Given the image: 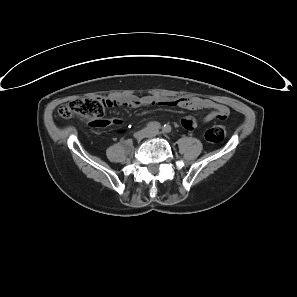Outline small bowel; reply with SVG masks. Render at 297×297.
Returning a JSON list of instances; mask_svg holds the SVG:
<instances>
[{"instance_id":"obj_1","label":"small bowel","mask_w":297,"mask_h":297,"mask_svg":"<svg viewBox=\"0 0 297 297\" xmlns=\"http://www.w3.org/2000/svg\"><path fill=\"white\" fill-rule=\"evenodd\" d=\"M110 107L125 106L128 108H138L141 106H177L185 110H201V109H211V112L204 117V122H210L215 119L224 120L229 114L230 110L226 105L214 102L210 99H202L198 97L193 98H180V99H162L154 96H144V97H125V98H112L107 100ZM121 120L113 119H90L88 121V126L90 128H102L103 130H108L111 125H120ZM181 124L186 129H194L197 124L192 117H185L182 119Z\"/></svg>"}]
</instances>
